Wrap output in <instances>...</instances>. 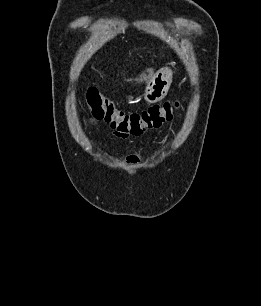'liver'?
<instances>
[{
  "label": "liver",
  "mask_w": 261,
  "mask_h": 306,
  "mask_svg": "<svg viewBox=\"0 0 261 306\" xmlns=\"http://www.w3.org/2000/svg\"><path fill=\"white\" fill-rule=\"evenodd\" d=\"M147 72H148V76H146L145 73H143L140 77V81H143L145 80L147 83H149V81L152 79V77L154 76V72H153V69L150 68V69H147Z\"/></svg>",
  "instance_id": "liver-1"
}]
</instances>
